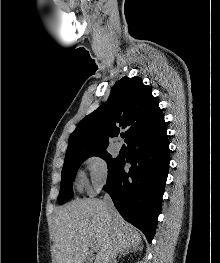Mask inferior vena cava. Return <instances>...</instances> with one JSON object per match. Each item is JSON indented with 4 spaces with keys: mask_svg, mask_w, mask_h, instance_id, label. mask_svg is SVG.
Masks as SVG:
<instances>
[{
    "mask_svg": "<svg viewBox=\"0 0 220 263\" xmlns=\"http://www.w3.org/2000/svg\"><path fill=\"white\" fill-rule=\"evenodd\" d=\"M103 203H104L105 210H106L107 214L109 216H111L115 212V207H114V204H113L111 197L108 194H105ZM110 263H113V262L110 261Z\"/></svg>",
    "mask_w": 220,
    "mask_h": 263,
    "instance_id": "602c4592",
    "label": "inferior vena cava"
}]
</instances>
